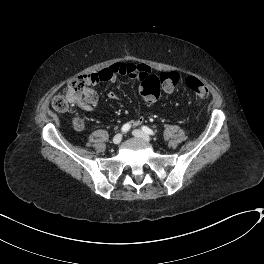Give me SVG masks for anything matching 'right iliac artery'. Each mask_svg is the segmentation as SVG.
<instances>
[{"label": "right iliac artery", "instance_id": "82829eb1", "mask_svg": "<svg viewBox=\"0 0 264 264\" xmlns=\"http://www.w3.org/2000/svg\"><path fill=\"white\" fill-rule=\"evenodd\" d=\"M131 125L129 123H126L122 126L121 131L123 133L127 132L130 129Z\"/></svg>", "mask_w": 264, "mask_h": 264}]
</instances>
